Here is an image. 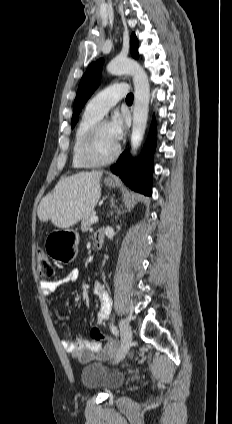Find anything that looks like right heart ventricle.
Returning a JSON list of instances; mask_svg holds the SVG:
<instances>
[{"instance_id":"right-heart-ventricle-1","label":"right heart ventricle","mask_w":232,"mask_h":424,"mask_svg":"<svg viewBox=\"0 0 232 424\" xmlns=\"http://www.w3.org/2000/svg\"><path fill=\"white\" fill-rule=\"evenodd\" d=\"M100 118L101 116L86 108L76 126L72 144V166L76 169L91 167L82 160L80 156V148L82 141L91 126Z\"/></svg>"}]
</instances>
